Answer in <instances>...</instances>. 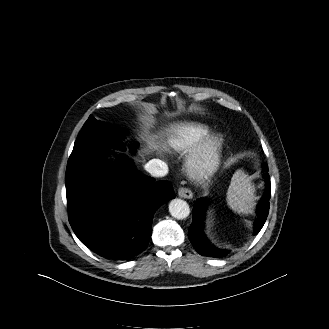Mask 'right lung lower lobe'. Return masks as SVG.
Instances as JSON below:
<instances>
[{"label": "right lung lower lobe", "mask_w": 329, "mask_h": 329, "mask_svg": "<svg viewBox=\"0 0 329 329\" xmlns=\"http://www.w3.org/2000/svg\"><path fill=\"white\" fill-rule=\"evenodd\" d=\"M109 149L89 153L65 175L68 218L78 239L111 260H129L147 246L155 211L175 197L169 181L140 174L126 156L110 167Z\"/></svg>", "instance_id": "1"}]
</instances>
